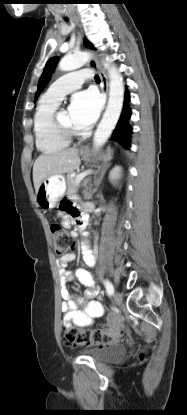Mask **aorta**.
Returning <instances> with one entry per match:
<instances>
[{"label":"aorta","instance_id":"1","mask_svg":"<svg viewBox=\"0 0 187 415\" xmlns=\"http://www.w3.org/2000/svg\"><path fill=\"white\" fill-rule=\"evenodd\" d=\"M90 58L88 52H79L73 55H67L63 57L59 63V69L62 71H72L82 67ZM104 66L108 69L110 79V91L109 100L100 121L95 134H94V146L96 148L101 147L110 137L113 129L115 128L124 102V84L121 74L117 71L115 66H111L108 63H104Z\"/></svg>","mask_w":187,"mask_h":415}]
</instances>
